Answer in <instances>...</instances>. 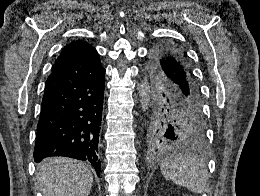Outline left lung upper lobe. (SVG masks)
<instances>
[{
	"label": "left lung upper lobe",
	"mask_w": 260,
	"mask_h": 196,
	"mask_svg": "<svg viewBox=\"0 0 260 196\" xmlns=\"http://www.w3.org/2000/svg\"><path fill=\"white\" fill-rule=\"evenodd\" d=\"M147 75L145 148L153 152L204 143L206 120L200 89L183 49L173 44L154 47Z\"/></svg>",
	"instance_id": "1"
}]
</instances>
